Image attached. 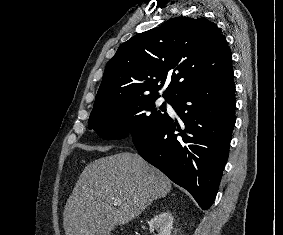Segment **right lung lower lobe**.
Wrapping results in <instances>:
<instances>
[{"label": "right lung lower lobe", "instance_id": "1", "mask_svg": "<svg viewBox=\"0 0 283 235\" xmlns=\"http://www.w3.org/2000/svg\"><path fill=\"white\" fill-rule=\"evenodd\" d=\"M181 121L168 116L147 133L132 138L142 158L185 188L203 209L218 191L235 125L233 72L184 90L170 102Z\"/></svg>", "mask_w": 283, "mask_h": 235}]
</instances>
